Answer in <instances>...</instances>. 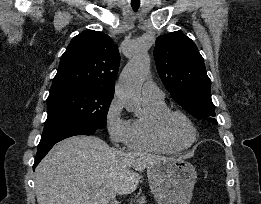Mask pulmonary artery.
<instances>
[{
	"mask_svg": "<svg viewBox=\"0 0 261 204\" xmlns=\"http://www.w3.org/2000/svg\"><path fill=\"white\" fill-rule=\"evenodd\" d=\"M143 99L161 100L164 99L163 91L153 82H146L142 87Z\"/></svg>",
	"mask_w": 261,
	"mask_h": 204,
	"instance_id": "pulmonary-artery-1",
	"label": "pulmonary artery"
}]
</instances>
